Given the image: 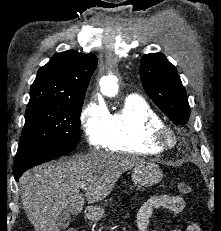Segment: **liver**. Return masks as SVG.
Here are the masks:
<instances>
[{"instance_id": "6515ba94", "label": "liver", "mask_w": 221, "mask_h": 231, "mask_svg": "<svg viewBox=\"0 0 221 231\" xmlns=\"http://www.w3.org/2000/svg\"><path fill=\"white\" fill-rule=\"evenodd\" d=\"M143 160L126 154L93 151L25 172L20 180L24 210L36 231H58L63 210L80 213L112 191L121 174ZM85 186V195L80 193Z\"/></svg>"}]
</instances>
